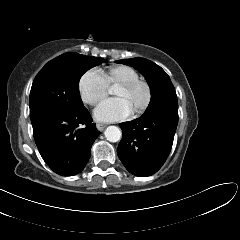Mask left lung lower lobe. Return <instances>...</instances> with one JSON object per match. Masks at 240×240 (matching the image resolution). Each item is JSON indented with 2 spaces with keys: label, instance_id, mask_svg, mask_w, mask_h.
Returning <instances> with one entry per match:
<instances>
[{
  "label": "left lung lower lobe",
  "instance_id": "obj_1",
  "mask_svg": "<svg viewBox=\"0 0 240 240\" xmlns=\"http://www.w3.org/2000/svg\"><path fill=\"white\" fill-rule=\"evenodd\" d=\"M178 124V110L157 109L120 123L122 140L117 154L125 168L135 176L156 173L165 163Z\"/></svg>",
  "mask_w": 240,
  "mask_h": 240
}]
</instances>
